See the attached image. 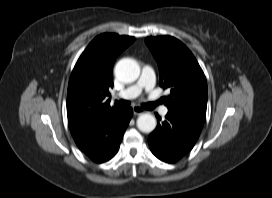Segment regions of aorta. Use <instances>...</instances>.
I'll list each match as a JSON object with an SVG mask.
<instances>
[{
	"label": "aorta",
	"mask_w": 272,
	"mask_h": 198,
	"mask_svg": "<svg viewBox=\"0 0 272 198\" xmlns=\"http://www.w3.org/2000/svg\"><path fill=\"white\" fill-rule=\"evenodd\" d=\"M114 72L122 82L131 83L138 79L140 67L135 60L125 58L117 62ZM137 127L144 133H150L156 128V119L152 114H141L137 119Z\"/></svg>",
	"instance_id": "aorta-1"
}]
</instances>
